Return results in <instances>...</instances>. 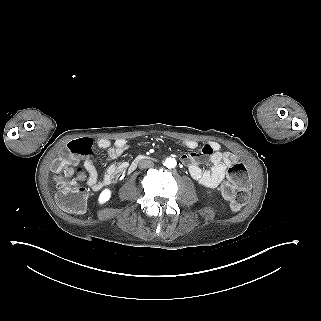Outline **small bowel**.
Wrapping results in <instances>:
<instances>
[{
	"mask_svg": "<svg viewBox=\"0 0 321 321\" xmlns=\"http://www.w3.org/2000/svg\"><path fill=\"white\" fill-rule=\"evenodd\" d=\"M179 142L191 150L181 155L182 162L188 166L189 174L194 180L206 187H217L221 183L226 169L237 161L234 154L223 152L217 142H207L199 151H195L198 147L195 140L188 139ZM96 144L99 148L107 150L108 161L116 159L131 150L130 144L125 139H116L112 143L108 139L100 138L96 140ZM202 159L209 161L210 167L208 169H202L199 166L198 163ZM84 167L88 173V185L94 191H99L118 180L127 171L128 163H108L100 178L92 157H86Z\"/></svg>",
	"mask_w": 321,
	"mask_h": 321,
	"instance_id": "obj_1",
	"label": "small bowel"
}]
</instances>
